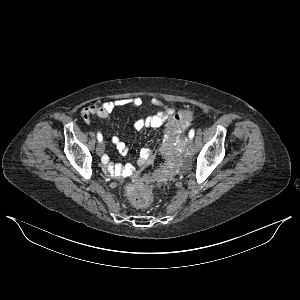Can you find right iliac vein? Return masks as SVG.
Segmentation results:
<instances>
[{"mask_svg":"<svg viewBox=\"0 0 300 300\" xmlns=\"http://www.w3.org/2000/svg\"><path fill=\"white\" fill-rule=\"evenodd\" d=\"M104 150H105V144L104 142H100L96 147L97 155L101 156L104 153Z\"/></svg>","mask_w":300,"mask_h":300,"instance_id":"1","label":"right iliac vein"}]
</instances>
